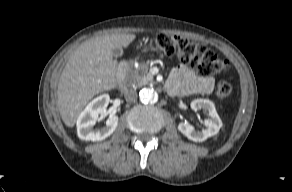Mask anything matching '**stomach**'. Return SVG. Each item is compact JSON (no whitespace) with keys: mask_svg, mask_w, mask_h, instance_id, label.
<instances>
[{"mask_svg":"<svg viewBox=\"0 0 292 192\" xmlns=\"http://www.w3.org/2000/svg\"><path fill=\"white\" fill-rule=\"evenodd\" d=\"M141 46H143L144 49L148 48V46L146 44H144V45L141 44Z\"/></svg>","mask_w":292,"mask_h":192,"instance_id":"0dacf381","label":"stomach"}]
</instances>
